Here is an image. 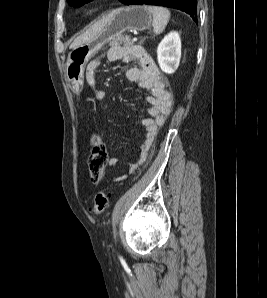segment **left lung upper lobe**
Instances as JSON below:
<instances>
[{
	"label": "left lung upper lobe",
	"mask_w": 267,
	"mask_h": 298,
	"mask_svg": "<svg viewBox=\"0 0 267 298\" xmlns=\"http://www.w3.org/2000/svg\"><path fill=\"white\" fill-rule=\"evenodd\" d=\"M69 5L73 6V7H80L83 4L91 1V0H67ZM127 0H120V2L124 3Z\"/></svg>",
	"instance_id": "left-lung-upper-lobe-1"
}]
</instances>
